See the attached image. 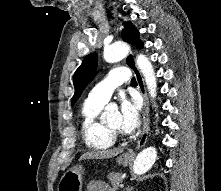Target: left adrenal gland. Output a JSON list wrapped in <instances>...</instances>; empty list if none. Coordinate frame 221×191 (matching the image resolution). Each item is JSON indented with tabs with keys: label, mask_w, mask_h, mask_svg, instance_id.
<instances>
[{
	"label": "left adrenal gland",
	"mask_w": 221,
	"mask_h": 191,
	"mask_svg": "<svg viewBox=\"0 0 221 191\" xmlns=\"http://www.w3.org/2000/svg\"><path fill=\"white\" fill-rule=\"evenodd\" d=\"M125 190H126V191H132V190H133V187L127 186V187L125 188Z\"/></svg>",
	"instance_id": "a2214340"
}]
</instances>
